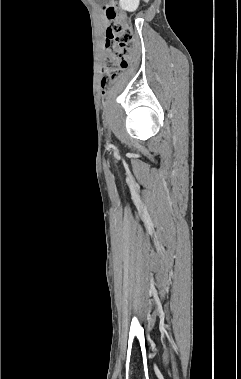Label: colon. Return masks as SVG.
Listing matches in <instances>:
<instances>
[{
	"label": "colon",
	"mask_w": 241,
	"mask_h": 379,
	"mask_svg": "<svg viewBox=\"0 0 241 379\" xmlns=\"http://www.w3.org/2000/svg\"><path fill=\"white\" fill-rule=\"evenodd\" d=\"M103 10L111 21L107 39L109 53L103 67L105 75L102 80L103 88H109L130 64L133 55V32L123 23L122 15L114 3H107Z\"/></svg>",
	"instance_id": "obj_1"
}]
</instances>
